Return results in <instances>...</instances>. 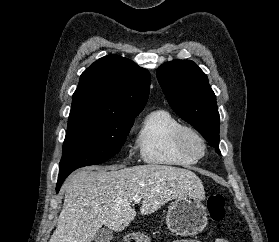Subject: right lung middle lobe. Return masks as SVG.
Here are the masks:
<instances>
[{"label":"right lung middle lobe","instance_id":"dd1d6c3e","mask_svg":"<svg viewBox=\"0 0 279 242\" xmlns=\"http://www.w3.org/2000/svg\"><path fill=\"white\" fill-rule=\"evenodd\" d=\"M134 118L93 119L69 115L58 180L75 169L100 164L118 153Z\"/></svg>","mask_w":279,"mask_h":242}]
</instances>
